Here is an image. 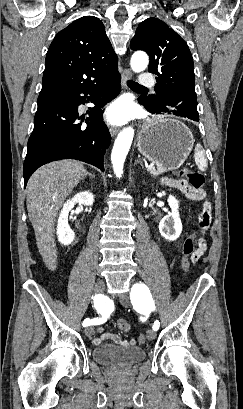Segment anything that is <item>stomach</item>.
<instances>
[{
    "label": "stomach",
    "instance_id": "1",
    "mask_svg": "<svg viewBox=\"0 0 243 409\" xmlns=\"http://www.w3.org/2000/svg\"><path fill=\"white\" fill-rule=\"evenodd\" d=\"M193 145L190 129L181 121L166 116L147 121L137 139L139 152L165 170L181 167Z\"/></svg>",
    "mask_w": 243,
    "mask_h": 409
}]
</instances>
